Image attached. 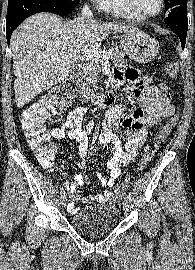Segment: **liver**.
Returning a JSON list of instances; mask_svg holds the SVG:
<instances>
[{"label": "liver", "mask_w": 195, "mask_h": 270, "mask_svg": "<svg viewBox=\"0 0 195 270\" xmlns=\"http://www.w3.org/2000/svg\"><path fill=\"white\" fill-rule=\"evenodd\" d=\"M136 30L123 23L81 18L63 22L50 13L27 18L11 37L17 107H23L37 94L63 81L75 58L86 50L98 51L110 31L129 33Z\"/></svg>", "instance_id": "1"}]
</instances>
